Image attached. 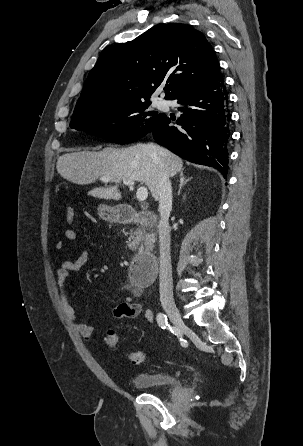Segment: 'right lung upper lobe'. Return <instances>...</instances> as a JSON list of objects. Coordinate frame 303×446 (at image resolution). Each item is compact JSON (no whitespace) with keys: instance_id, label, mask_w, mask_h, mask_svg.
Returning <instances> with one entry per match:
<instances>
[{"instance_id":"obj_1","label":"right lung upper lobe","mask_w":303,"mask_h":446,"mask_svg":"<svg viewBox=\"0 0 303 446\" xmlns=\"http://www.w3.org/2000/svg\"><path fill=\"white\" fill-rule=\"evenodd\" d=\"M222 77L204 34L181 23L147 31L106 47L90 71L72 116L93 109L149 100L166 82L165 99Z\"/></svg>"}]
</instances>
